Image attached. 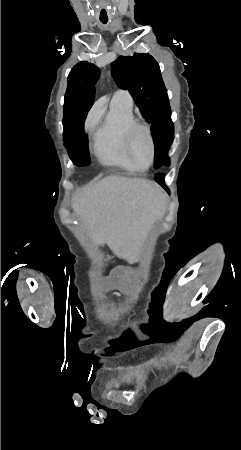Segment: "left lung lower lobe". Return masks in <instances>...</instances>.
I'll return each instance as SVG.
<instances>
[{"label":"left lung lower lobe","instance_id":"0a47b994","mask_svg":"<svg viewBox=\"0 0 241 450\" xmlns=\"http://www.w3.org/2000/svg\"><path fill=\"white\" fill-rule=\"evenodd\" d=\"M156 181L163 187L165 188L167 191H169V189L165 186L164 184V177L161 175L156 176Z\"/></svg>","mask_w":241,"mask_h":450}]
</instances>
